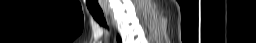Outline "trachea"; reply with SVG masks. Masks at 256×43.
Wrapping results in <instances>:
<instances>
[{
	"mask_svg": "<svg viewBox=\"0 0 256 43\" xmlns=\"http://www.w3.org/2000/svg\"><path fill=\"white\" fill-rule=\"evenodd\" d=\"M89 12L91 13V15L93 16V18L96 20V22L100 25L103 26L105 28H107V23L106 20L104 18V14L103 11L100 10H92L89 9Z\"/></svg>",
	"mask_w": 256,
	"mask_h": 43,
	"instance_id": "1",
	"label": "trachea"
}]
</instances>
